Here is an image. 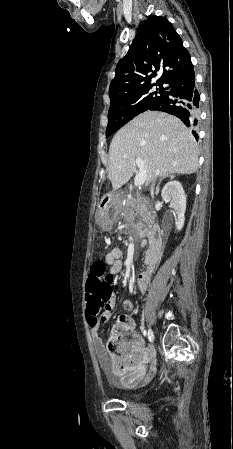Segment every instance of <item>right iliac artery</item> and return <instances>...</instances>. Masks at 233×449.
Returning <instances> with one entry per match:
<instances>
[{
	"label": "right iliac artery",
	"mask_w": 233,
	"mask_h": 449,
	"mask_svg": "<svg viewBox=\"0 0 233 449\" xmlns=\"http://www.w3.org/2000/svg\"><path fill=\"white\" fill-rule=\"evenodd\" d=\"M143 335H144V336H146V335H147V332H146V330H143ZM148 338H149V340L151 341L149 332H148Z\"/></svg>",
	"instance_id": "82829eb1"
}]
</instances>
